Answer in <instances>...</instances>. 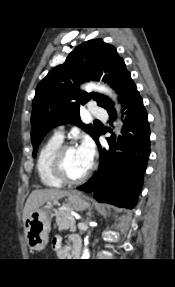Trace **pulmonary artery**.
Here are the masks:
<instances>
[{"label":"pulmonary artery","mask_w":175,"mask_h":287,"mask_svg":"<svg viewBox=\"0 0 175 287\" xmlns=\"http://www.w3.org/2000/svg\"><path fill=\"white\" fill-rule=\"evenodd\" d=\"M90 114L95 116V117H105L106 116V111L103 107H99L96 105H93L90 108ZM55 136H57L58 138L63 139L64 137V132H63V127L60 126L57 128V130L55 131Z\"/></svg>","instance_id":"1"}]
</instances>
